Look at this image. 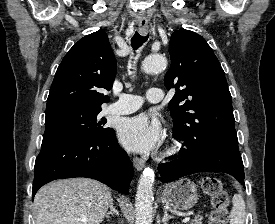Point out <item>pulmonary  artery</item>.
<instances>
[{"label": "pulmonary artery", "mask_w": 275, "mask_h": 224, "mask_svg": "<svg viewBox=\"0 0 275 224\" xmlns=\"http://www.w3.org/2000/svg\"><path fill=\"white\" fill-rule=\"evenodd\" d=\"M164 93L161 88H149L146 93V98L149 103H157L163 99ZM143 106L142 98L131 94H122L118 101L112 103L108 107V111L113 114H129L135 112Z\"/></svg>", "instance_id": "obj_1"}]
</instances>
